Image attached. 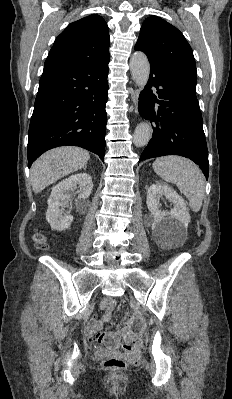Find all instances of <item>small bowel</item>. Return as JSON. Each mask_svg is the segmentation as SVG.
<instances>
[{
	"instance_id": "1",
	"label": "small bowel",
	"mask_w": 232,
	"mask_h": 399,
	"mask_svg": "<svg viewBox=\"0 0 232 399\" xmlns=\"http://www.w3.org/2000/svg\"><path fill=\"white\" fill-rule=\"evenodd\" d=\"M115 303V297H104L101 301V308L104 311L102 318L96 317L92 322H77L76 327L84 332H98L103 330L104 322L110 319L111 311L115 307Z\"/></svg>"
}]
</instances>
